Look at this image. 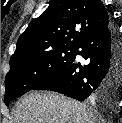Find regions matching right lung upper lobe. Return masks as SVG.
<instances>
[{
  "label": "right lung upper lobe",
  "mask_w": 122,
  "mask_h": 123,
  "mask_svg": "<svg viewBox=\"0 0 122 123\" xmlns=\"http://www.w3.org/2000/svg\"><path fill=\"white\" fill-rule=\"evenodd\" d=\"M49 4L19 37L10 64L34 55L77 49L110 22L101 0H51Z\"/></svg>",
  "instance_id": "obj_1"
}]
</instances>
